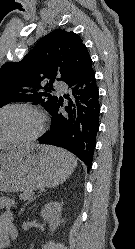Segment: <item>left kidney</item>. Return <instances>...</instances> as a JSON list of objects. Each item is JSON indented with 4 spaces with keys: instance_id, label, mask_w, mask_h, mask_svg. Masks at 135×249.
<instances>
[{
    "instance_id": "1",
    "label": "left kidney",
    "mask_w": 135,
    "mask_h": 249,
    "mask_svg": "<svg viewBox=\"0 0 135 249\" xmlns=\"http://www.w3.org/2000/svg\"><path fill=\"white\" fill-rule=\"evenodd\" d=\"M62 211V203L49 202L41 210V217L50 224L53 232L60 224V216Z\"/></svg>"
}]
</instances>
